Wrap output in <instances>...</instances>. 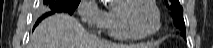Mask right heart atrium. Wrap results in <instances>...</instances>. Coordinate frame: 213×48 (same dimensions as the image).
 Masks as SVG:
<instances>
[{
    "instance_id": "d8ad5b80",
    "label": "right heart atrium",
    "mask_w": 213,
    "mask_h": 48,
    "mask_svg": "<svg viewBox=\"0 0 213 48\" xmlns=\"http://www.w3.org/2000/svg\"><path fill=\"white\" fill-rule=\"evenodd\" d=\"M78 14L83 23L95 31L104 29L105 12L95 0H83L79 3Z\"/></svg>"
}]
</instances>
